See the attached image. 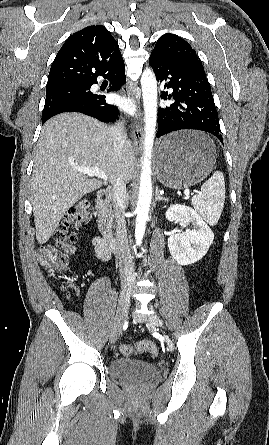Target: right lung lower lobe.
Wrapping results in <instances>:
<instances>
[{"instance_id":"98d812e1","label":"right lung lower lobe","mask_w":269,"mask_h":445,"mask_svg":"<svg viewBox=\"0 0 269 445\" xmlns=\"http://www.w3.org/2000/svg\"><path fill=\"white\" fill-rule=\"evenodd\" d=\"M101 76H103L104 78H108L111 81L108 92L119 90L121 86L124 85L126 82L125 66L123 60L112 67L110 70H108L106 73H103ZM94 83H97V78L90 84L92 85ZM64 112H80L94 117L102 122L114 121L118 118L119 113L117 107L108 105L106 103L104 95L98 94H94L92 97L85 101L66 105L58 109L52 116ZM47 120L43 121L42 125Z\"/></svg>"}]
</instances>
